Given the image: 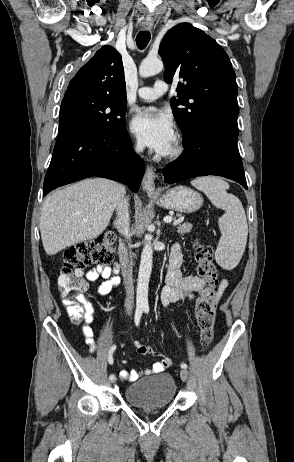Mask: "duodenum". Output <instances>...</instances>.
<instances>
[{
    "instance_id": "1",
    "label": "duodenum",
    "mask_w": 294,
    "mask_h": 462,
    "mask_svg": "<svg viewBox=\"0 0 294 462\" xmlns=\"http://www.w3.org/2000/svg\"><path fill=\"white\" fill-rule=\"evenodd\" d=\"M118 255H119V266L123 269L127 268L128 264V248L125 243H120L119 249H118Z\"/></svg>"
}]
</instances>
